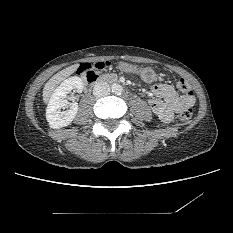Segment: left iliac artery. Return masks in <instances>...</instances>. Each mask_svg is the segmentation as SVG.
Here are the masks:
<instances>
[{"label":"left iliac artery","mask_w":233,"mask_h":233,"mask_svg":"<svg viewBox=\"0 0 233 233\" xmlns=\"http://www.w3.org/2000/svg\"><path fill=\"white\" fill-rule=\"evenodd\" d=\"M122 92H123V90H122V89H119V90H118V95H121Z\"/></svg>","instance_id":"1"}]
</instances>
